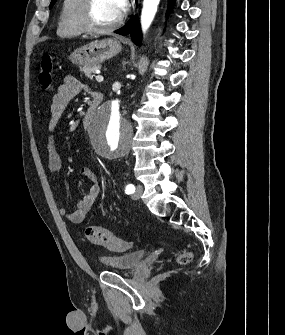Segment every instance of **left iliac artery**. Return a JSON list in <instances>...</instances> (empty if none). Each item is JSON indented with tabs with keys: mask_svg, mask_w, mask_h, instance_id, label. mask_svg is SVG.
Wrapping results in <instances>:
<instances>
[{
	"mask_svg": "<svg viewBox=\"0 0 285 335\" xmlns=\"http://www.w3.org/2000/svg\"><path fill=\"white\" fill-rule=\"evenodd\" d=\"M125 192L126 194H132L135 192V187L133 184H129L126 186V189H125Z\"/></svg>",
	"mask_w": 285,
	"mask_h": 335,
	"instance_id": "left-iliac-artery-1",
	"label": "left iliac artery"
}]
</instances>
